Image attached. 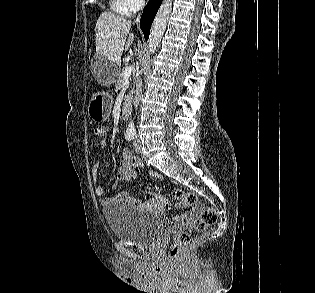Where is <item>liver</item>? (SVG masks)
<instances>
[{
	"label": "liver",
	"instance_id": "liver-1",
	"mask_svg": "<svg viewBox=\"0 0 315 293\" xmlns=\"http://www.w3.org/2000/svg\"><path fill=\"white\" fill-rule=\"evenodd\" d=\"M130 28L131 22L127 19L111 12H103L95 27L96 53L118 64L124 48L128 49L133 43L134 34H130L126 42Z\"/></svg>",
	"mask_w": 315,
	"mask_h": 293
}]
</instances>
